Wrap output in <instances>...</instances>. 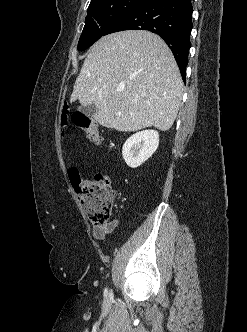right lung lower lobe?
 Returning a JSON list of instances; mask_svg holds the SVG:
<instances>
[{"instance_id":"98d812e1","label":"right lung lower lobe","mask_w":247,"mask_h":332,"mask_svg":"<svg viewBox=\"0 0 247 332\" xmlns=\"http://www.w3.org/2000/svg\"><path fill=\"white\" fill-rule=\"evenodd\" d=\"M192 12L191 0H147L114 22L105 35L134 29L158 34L172 50L185 81Z\"/></svg>"}]
</instances>
